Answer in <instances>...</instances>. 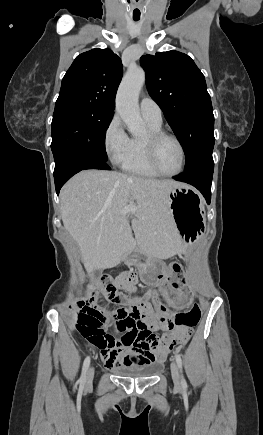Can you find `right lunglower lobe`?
<instances>
[{
    "mask_svg": "<svg viewBox=\"0 0 263 435\" xmlns=\"http://www.w3.org/2000/svg\"><path fill=\"white\" fill-rule=\"evenodd\" d=\"M86 169H103L110 170L106 162L95 160L85 156H69L62 160L58 165H55L54 181L56 193L59 195L61 187L74 174Z\"/></svg>",
    "mask_w": 263,
    "mask_h": 435,
    "instance_id": "1",
    "label": "right lung lower lobe"
}]
</instances>
